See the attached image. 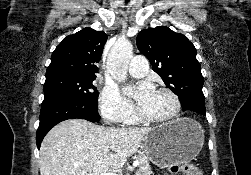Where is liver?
<instances>
[{
	"mask_svg": "<svg viewBox=\"0 0 251 175\" xmlns=\"http://www.w3.org/2000/svg\"><path fill=\"white\" fill-rule=\"evenodd\" d=\"M150 127H103L87 119H65L45 135L40 175H87L123 167Z\"/></svg>",
	"mask_w": 251,
	"mask_h": 175,
	"instance_id": "liver-1",
	"label": "liver"
}]
</instances>
